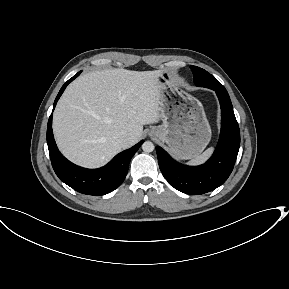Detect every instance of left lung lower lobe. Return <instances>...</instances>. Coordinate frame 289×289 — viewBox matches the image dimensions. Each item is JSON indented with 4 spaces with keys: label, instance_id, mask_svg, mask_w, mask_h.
I'll use <instances>...</instances> for the list:
<instances>
[{
    "label": "left lung lower lobe",
    "instance_id": "obj_1",
    "mask_svg": "<svg viewBox=\"0 0 289 289\" xmlns=\"http://www.w3.org/2000/svg\"><path fill=\"white\" fill-rule=\"evenodd\" d=\"M222 114L221 134L212 157L203 165L186 166L173 160L161 147H156L160 170L166 180L186 194H204L222 185L231 174L240 146V131L229 95L214 90Z\"/></svg>",
    "mask_w": 289,
    "mask_h": 289
}]
</instances>
